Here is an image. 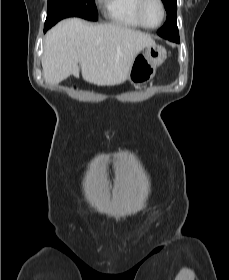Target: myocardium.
Returning a JSON list of instances; mask_svg holds the SVG:
<instances>
[{
    "label": "myocardium",
    "mask_w": 229,
    "mask_h": 280,
    "mask_svg": "<svg viewBox=\"0 0 229 280\" xmlns=\"http://www.w3.org/2000/svg\"><path fill=\"white\" fill-rule=\"evenodd\" d=\"M150 1L151 0H139V3H138L137 8H136V16H137L140 24L144 28H146V29H156V28L160 27L165 20L166 7H165V4L162 0H154L155 2H157L159 4V6L161 8L162 15H161L160 22L157 25H155V26L148 25L145 21V18H144V10H145L147 4Z\"/></svg>",
    "instance_id": "obj_1"
}]
</instances>
